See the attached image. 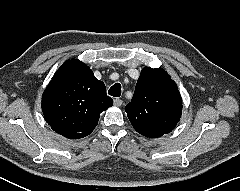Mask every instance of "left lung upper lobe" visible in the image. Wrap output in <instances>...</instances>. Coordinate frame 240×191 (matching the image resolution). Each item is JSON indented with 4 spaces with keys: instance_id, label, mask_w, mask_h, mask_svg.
<instances>
[{
    "instance_id": "5c2ea615",
    "label": "left lung upper lobe",
    "mask_w": 240,
    "mask_h": 191,
    "mask_svg": "<svg viewBox=\"0 0 240 191\" xmlns=\"http://www.w3.org/2000/svg\"><path fill=\"white\" fill-rule=\"evenodd\" d=\"M125 111L138 133L156 138L175 128L182 114V99L166 71L144 67Z\"/></svg>"
}]
</instances>
